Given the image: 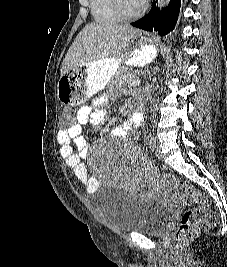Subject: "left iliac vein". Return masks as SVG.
<instances>
[{"instance_id": "4c4485c4", "label": "left iliac vein", "mask_w": 227, "mask_h": 267, "mask_svg": "<svg viewBox=\"0 0 227 267\" xmlns=\"http://www.w3.org/2000/svg\"><path fill=\"white\" fill-rule=\"evenodd\" d=\"M152 150H153V154L157 157L160 158L161 155V151H160V143L157 140H154L152 143Z\"/></svg>"}]
</instances>
